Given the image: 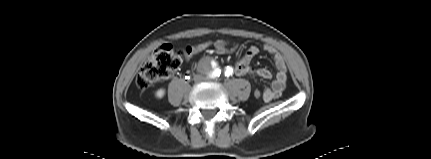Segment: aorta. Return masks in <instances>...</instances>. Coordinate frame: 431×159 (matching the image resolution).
Returning <instances> with one entry per match:
<instances>
[{"label": "aorta", "instance_id": "762f6f07", "mask_svg": "<svg viewBox=\"0 0 431 159\" xmlns=\"http://www.w3.org/2000/svg\"><path fill=\"white\" fill-rule=\"evenodd\" d=\"M209 72H210L212 75H215V73H216V71L211 72V70H209Z\"/></svg>", "mask_w": 431, "mask_h": 159}]
</instances>
